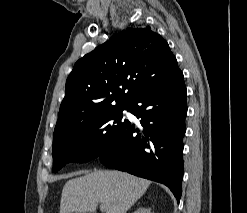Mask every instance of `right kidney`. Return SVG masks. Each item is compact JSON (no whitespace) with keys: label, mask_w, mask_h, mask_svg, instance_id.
I'll return each mask as SVG.
<instances>
[{"label":"right kidney","mask_w":247,"mask_h":213,"mask_svg":"<svg viewBox=\"0 0 247 213\" xmlns=\"http://www.w3.org/2000/svg\"><path fill=\"white\" fill-rule=\"evenodd\" d=\"M133 213H151V209L145 208V207H140L136 211H134Z\"/></svg>","instance_id":"obj_1"}]
</instances>
